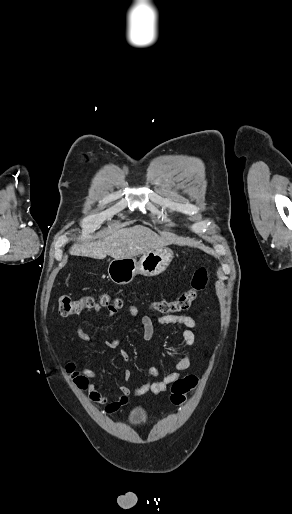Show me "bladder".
<instances>
[{
    "mask_svg": "<svg viewBox=\"0 0 292 514\" xmlns=\"http://www.w3.org/2000/svg\"><path fill=\"white\" fill-rule=\"evenodd\" d=\"M148 418V414L142 407H135L129 414V422L132 424H141Z\"/></svg>",
    "mask_w": 292,
    "mask_h": 514,
    "instance_id": "31cf9c89",
    "label": "bladder"
}]
</instances>
